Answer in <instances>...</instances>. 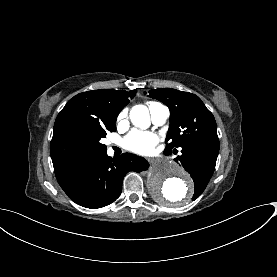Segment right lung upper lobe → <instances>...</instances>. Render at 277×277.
I'll list each match as a JSON object with an SVG mask.
<instances>
[{
  "instance_id": "obj_1",
  "label": "right lung upper lobe",
  "mask_w": 277,
  "mask_h": 277,
  "mask_svg": "<svg viewBox=\"0 0 277 277\" xmlns=\"http://www.w3.org/2000/svg\"><path fill=\"white\" fill-rule=\"evenodd\" d=\"M135 94L136 90L101 89L74 96L56 118L50 147L69 143L80 129L114 132L118 114Z\"/></svg>"
}]
</instances>
